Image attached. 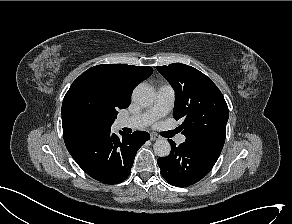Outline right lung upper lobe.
<instances>
[{
	"label": "right lung upper lobe",
	"mask_w": 292,
	"mask_h": 224,
	"mask_svg": "<svg viewBox=\"0 0 292 224\" xmlns=\"http://www.w3.org/2000/svg\"><path fill=\"white\" fill-rule=\"evenodd\" d=\"M153 72L148 66L103 64L91 67L75 81L91 80L99 84L118 109L127 108L134 88Z\"/></svg>",
	"instance_id": "1"
}]
</instances>
